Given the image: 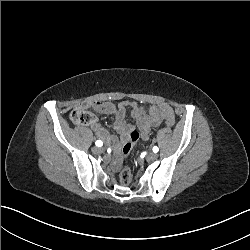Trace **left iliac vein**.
Returning a JSON list of instances; mask_svg holds the SVG:
<instances>
[{"label": "left iliac vein", "mask_w": 250, "mask_h": 250, "mask_svg": "<svg viewBox=\"0 0 250 250\" xmlns=\"http://www.w3.org/2000/svg\"><path fill=\"white\" fill-rule=\"evenodd\" d=\"M158 155L156 153H151L147 156V159L149 161H154L155 159H157Z\"/></svg>", "instance_id": "left-iliac-vein-1"}]
</instances>
